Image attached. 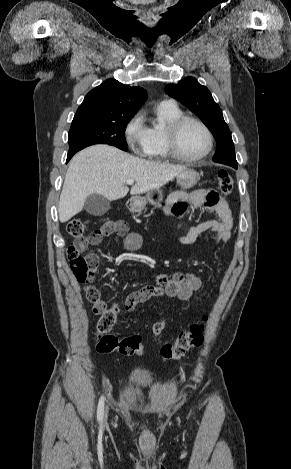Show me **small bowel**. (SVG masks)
Listing matches in <instances>:
<instances>
[{
    "label": "small bowel",
    "instance_id": "obj_1",
    "mask_svg": "<svg viewBox=\"0 0 291 469\" xmlns=\"http://www.w3.org/2000/svg\"><path fill=\"white\" fill-rule=\"evenodd\" d=\"M190 203L194 207H205L216 213L217 219H210L198 223L190 228L187 234L178 236L179 243L183 245L193 244L197 238L204 232L211 231L215 234V242H226L231 237L233 219L227 202L222 199L218 193L211 189L196 190L191 193L174 192L167 201L165 213L175 218H182L187 204ZM181 228V224L176 226V230ZM102 237L116 234L123 239L125 249L134 251L142 246V236L135 231H130L128 225L124 221H108L100 228ZM100 241V240H99ZM99 241L91 243L98 244ZM88 258L95 267L99 263L104 264L101 256L91 253ZM157 286H145L127 296L124 302L125 309L133 312L136 306L149 300L152 297L165 295L170 298H177L180 301H190L195 291L201 287L200 277L193 273H175L172 276L167 274H159L156 277ZM98 300L93 303V311L98 314L100 309L107 308L105 301L101 298L97 291ZM113 309V307H112Z\"/></svg>",
    "mask_w": 291,
    "mask_h": 469
}]
</instances>
